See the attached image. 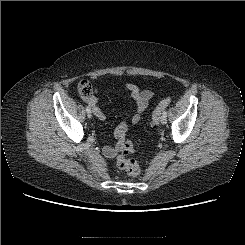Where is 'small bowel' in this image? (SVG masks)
<instances>
[{"label": "small bowel", "instance_id": "small-bowel-1", "mask_svg": "<svg viewBox=\"0 0 245 245\" xmlns=\"http://www.w3.org/2000/svg\"><path fill=\"white\" fill-rule=\"evenodd\" d=\"M124 90L129 92L132 98L136 102L135 113L133 114L130 121L128 120L123 121L116 129L115 136L118 139L117 144L115 146L104 147L103 154L108 158H113L117 154L118 150L120 149V143L124 139L125 131L128 128H130L132 125H135L140 121L142 114L148 108L150 102L154 97L152 91L140 90L134 84H126L124 86ZM86 102L92 107V111L96 117H98L100 120L105 119V114L101 111V109L97 105V98L95 95H91L88 99H86ZM121 132H123V135L121 134Z\"/></svg>", "mask_w": 245, "mask_h": 245}]
</instances>
